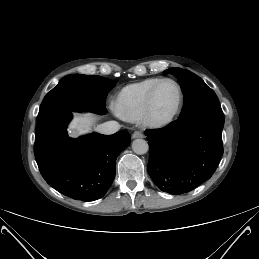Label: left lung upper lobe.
Returning <instances> with one entry per match:
<instances>
[{
  "label": "left lung upper lobe",
  "mask_w": 259,
  "mask_h": 259,
  "mask_svg": "<svg viewBox=\"0 0 259 259\" xmlns=\"http://www.w3.org/2000/svg\"><path fill=\"white\" fill-rule=\"evenodd\" d=\"M165 72L177 76L182 83L185 96L179 118L204 110L221 109L215 92L196 74L180 68H171Z\"/></svg>",
  "instance_id": "1"
}]
</instances>
